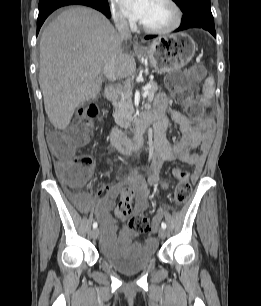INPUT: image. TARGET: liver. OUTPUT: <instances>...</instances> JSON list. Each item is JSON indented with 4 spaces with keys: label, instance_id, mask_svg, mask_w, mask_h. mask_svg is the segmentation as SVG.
Segmentation results:
<instances>
[{
    "label": "liver",
    "instance_id": "6515ba94",
    "mask_svg": "<svg viewBox=\"0 0 261 306\" xmlns=\"http://www.w3.org/2000/svg\"><path fill=\"white\" fill-rule=\"evenodd\" d=\"M122 40L109 20L87 7L63 11L43 31L40 40L39 84L45 111L59 130L68 127L77 106L95 99L104 66L116 54V76L135 74L134 57L125 53Z\"/></svg>",
    "mask_w": 261,
    "mask_h": 306
}]
</instances>
